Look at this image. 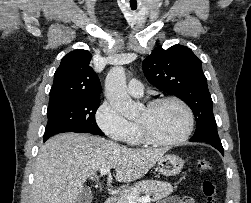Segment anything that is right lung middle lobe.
<instances>
[{"label": "right lung middle lobe", "mask_w": 251, "mask_h": 203, "mask_svg": "<svg viewBox=\"0 0 251 203\" xmlns=\"http://www.w3.org/2000/svg\"><path fill=\"white\" fill-rule=\"evenodd\" d=\"M100 99H82L48 107V123L44 133V141L63 132L91 133L103 136L99 129L95 113Z\"/></svg>", "instance_id": "right-lung-middle-lobe-1"}]
</instances>
